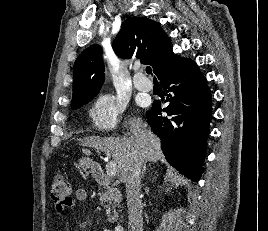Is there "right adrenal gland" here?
<instances>
[{"label": "right adrenal gland", "mask_w": 268, "mask_h": 231, "mask_svg": "<svg viewBox=\"0 0 268 231\" xmlns=\"http://www.w3.org/2000/svg\"><path fill=\"white\" fill-rule=\"evenodd\" d=\"M145 172H146V164L143 165V169H142V172H141V177L142 178L144 177Z\"/></svg>", "instance_id": "2a0ac1e0"}]
</instances>
